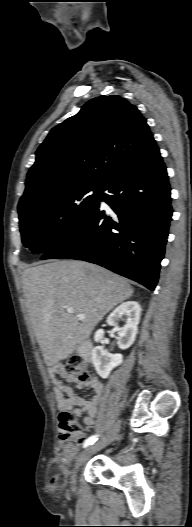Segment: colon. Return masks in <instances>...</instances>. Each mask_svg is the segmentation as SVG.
Here are the masks:
<instances>
[{"label": "colon", "mask_w": 192, "mask_h": 527, "mask_svg": "<svg viewBox=\"0 0 192 527\" xmlns=\"http://www.w3.org/2000/svg\"><path fill=\"white\" fill-rule=\"evenodd\" d=\"M65 371L80 381L89 379L87 364L79 356H74L65 363ZM58 434L64 450L72 454L77 452L84 441L86 430L70 411L63 410L59 416Z\"/></svg>", "instance_id": "5ec220e1"}]
</instances>
